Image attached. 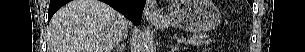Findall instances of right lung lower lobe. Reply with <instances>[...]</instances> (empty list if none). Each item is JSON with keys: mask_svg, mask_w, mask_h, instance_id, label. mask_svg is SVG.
<instances>
[{"mask_svg": "<svg viewBox=\"0 0 305 52\" xmlns=\"http://www.w3.org/2000/svg\"><path fill=\"white\" fill-rule=\"evenodd\" d=\"M70 0H51L48 11V22L54 13ZM109 4L112 8L124 14V16L132 21L135 25H139L142 18L146 0H101Z\"/></svg>", "mask_w": 305, "mask_h": 52, "instance_id": "obj_1", "label": "right lung lower lobe"}]
</instances>
